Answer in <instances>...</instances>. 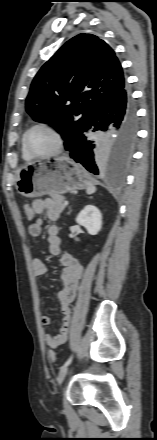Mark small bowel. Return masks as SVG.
I'll use <instances>...</instances> for the list:
<instances>
[{
  "label": "small bowel",
  "instance_id": "1",
  "mask_svg": "<svg viewBox=\"0 0 157 440\" xmlns=\"http://www.w3.org/2000/svg\"><path fill=\"white\" fill-rule=\"evenodd\" d=\"M35 214L46 213L47 217L53 222L48 227V244L50 253L60 258L62 266L61 279L62 287L57 293L60 302V309L63 315L61 326L57 335L45 334V343L50 348H57L67 340L68 327L71 315V303L73 302L79 288V284L83 274V267L80 262L69 252L64 251L61 247V238L59 236V228L55 224L58 220L60 211L56 203L52 199H38L32 203ZM43 219L37 217L29 226V234L33 237L40 236L42 232ZM32 268L35 276H42L46 273L47 267L42 259L34 258L32 260ZM41 323L44 326L49 325V317L43 315Z\"/></svg>",
  "mask_w": 157,
  "mask_h": 440
}]
</instances>
